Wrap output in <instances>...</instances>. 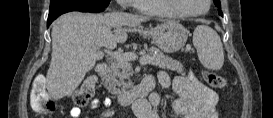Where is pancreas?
Masks as SVG:
<instances>
[{"mask_svg":"<svg viewBox=\"0 0 273 118\" xmlns=\"http://www.w3.org/2000/svg\"><path fill=\"white\" fill-rule=\"evenodd\" d=\"M145 50L149 52L151 58L150 64L162 69L177 71L178 73L184 71L183 66L178 61L164 55L155 47L149 49L145 48ZM130 71L131 66L127 60L114 58L111 61L108 72L102 78L104 87L111 94H120L121 92L131 88L132 82H125V80L130 77Z\"/></svg>","mask_w":273,"mask_h":118,"instance_id":"cf45deb5","label":"pancreas"}]
</instances>
